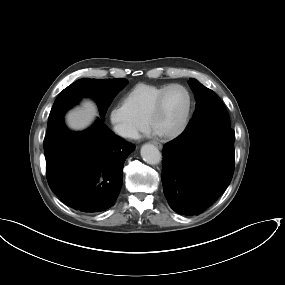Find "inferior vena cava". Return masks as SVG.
I'll list each match as a JSON object with an SVG mask.
<instances>
[{"mask_svg":"<svg viewBox=\"0 0 285 285\" xmlns=\"http://www.w3.org/2000/svg\"><path fill=\"white\" fill-rule=\"evenodd\" d=\"M117 133L125 138H137L138 132L135 128L128 125H118L116 128Z\"/></svg>","mask_w":285,"mask_h":285,"instance_id":"1","label":"inferior vena cava"}]
</instances>
